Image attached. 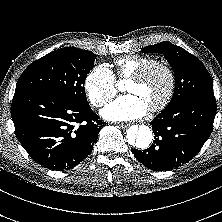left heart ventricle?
<instances>
[{
    "label": "left heart ventricle",
    "mask_w": 222,
    "mask_h": 222,
    "mask_svg": "<svg viewBox=\"0 0 222 222\" xmlns=\"http://www.w3.org/2000/svg\"><path fill=\"white\" fill-rule=\"evenodd\" d=\"M168 87V77L161 68L152 70L141 82L128 81L126 91L137 94L148 108L157 104L164 96Z\"/></svg>",
    "instance_id": "1"
}]
</instances>
